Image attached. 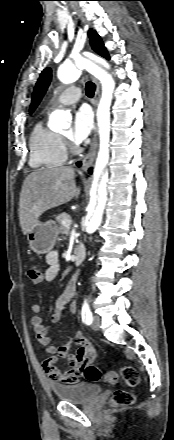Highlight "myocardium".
<instances>
[{"instance_id": "1", "label": "myocardium", "mask_w": 174, "mask_h": 440, "mask_svg": "<svg viewBox=\"0 0 174 440\" xmlns=\"http://www.w3.org/2000/svg\"><path fill=\"white\" fill-rule=\"evenodd\" d=\"M71 151H72L73 153H76V152L78 151V149L75 148V147H72V148H71Z\"/></svg>"}]
</instances>
